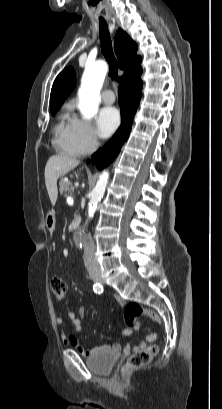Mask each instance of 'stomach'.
<instances>
[{
    "instance_id": "0dacf381",
    "label": "stomach",
    "mask_w": 222,
    "mask_h": 409,
    "mask_svg": "<svg viewBox=\"0 0 222 409\" xmlns=\"http://www.w3.org/2000/svg\"><path fill=\"white\" fill-rule=\"evenodd\" d=\"M56 219L54 213H49L46 217V227L50 232L55 229Z\"/></svg>"
}]
</instances>
